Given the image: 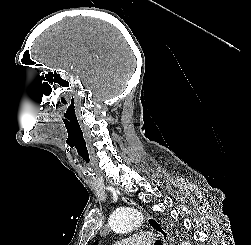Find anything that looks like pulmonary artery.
Instances as JSON below:
<instances>
[{
  "label": "pulmonary artery",
  "mask_w": 251,
  "mask_h": 245,
  "mask_svg": "<svg viewBox=\"0 0 251 245\" xmlns=\"http://www.w3.org/2000/svg\"><path fill=\"white\" fill-rule=\"evenodd\" d=\"M153 233L142 232L115 245H151Z\"/></svg>",
  "instance_id": "e3ab8cb5"
}]
</instances>
